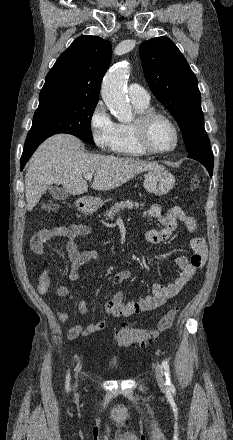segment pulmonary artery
Here are the masks:
<instances>
[{"label": "pulmonary artery", "instance_id": "obj_1", "mask_svg": "<svg viewBox=\"0 0 233 440\" xmlns=\"http://www.w3.org/2000/svg\"><path fill=\"white\" fill-rule=\"evenodd\" d=\"M128 95L131 101L139 105H148L150 96L148 92L138 83H132L128 87Z\"/></svg>", "mask_w": 233, "mask_h": 440}]
</instances>
